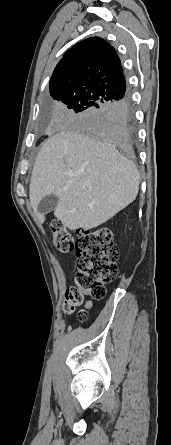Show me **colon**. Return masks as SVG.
<instances>
[{
  "label": "colon",
  "instance_id": "obj_1",
  "mask_svg": "<svg viewBox=\"0 0 171 445\" xmlns=\"http://www.w3.org/2000/svg\"><path fill=\"white\" fill-rule=\"evenodd\" d=\"M53 238L56 250L61 254L76 251L78 272L75 274V286L70 287L65 295L63 309L73 313L86 305L85 298L103 299L106 295L105 283L115 279L118 248L108 229L100 228L80 233L77 240L65 231L60 224L53 226ZM88 312L79 311V317L85 319Z\"/></svg>",
  "mask_w": 171,
  "mask_h": 445
}]
</instances>
